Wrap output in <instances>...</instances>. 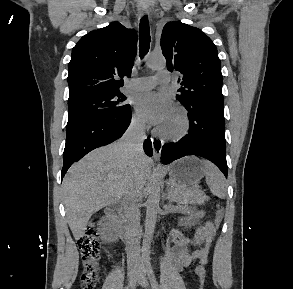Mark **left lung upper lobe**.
<instances>
[{
    "instance_id": "obj_1",
    "label": "left lung upper lobe",
    "mask_w": 293,
    "mask_h": 289,
    "mask_svg": "<svg viewBox=\"0 0 293 289\" xmlns=\"http://www.w3.org/2000/svg\"><path fill=\"white\" fill-rule=\"evenodd\" d=\"M161 48L168 70L182 74L176 98L184 107L198 102L223 107L221 62L206 34L181 22H168Z\"/></svg>"
}]
</instances>
